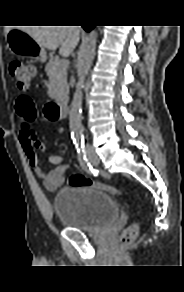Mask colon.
<instances>
[{
    "mask_svg": "<svg viewBox=\"0 0 184 292\" xmlns=\"http://www.w3.org/2000/svg\"><path fill=\"white\" fill-rule=\"evenodd\" d=\"M9 73L15 80L17 87L22 91H26L35 77V68L33 65L20 60H13L9 65ZM15 108L20 123L25 127L32 126L37 117V108L34 100L27 95H22L18 97ZM69 184L70 186H90L114 195L120 194L119 190L104 183L94 181L82 174L71 175ZM137 234L138 224L134 223L122 232L120 242L122 244H129L135 240Z\"/></svg>",
    "mask_w": 184,
    "mask_h": 292,
    "instance_id": "obj_1",
    "label": "colon"
}]
</instances>
